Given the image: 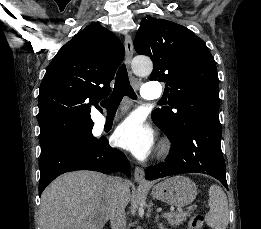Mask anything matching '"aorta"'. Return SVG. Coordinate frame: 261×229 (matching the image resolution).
I'll use <instances>...</instances> for the list:
<instances>
[{"instance_id": "aorta-1", "label": "aorta", "mask_w": 261, "mask_h": 229, "mask_svg": "<svg viewBox=\"0 0 261 229\" xmlns=\"http://www.w3.org/2000/svg\"><path fill=\"white\" fill-rule=\"evenodd\" d=\"M131 68L136 76H149L153 70V62L149 56H135Z\"/></svg>"}]
</instances>
